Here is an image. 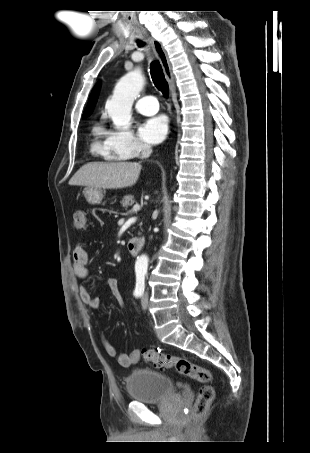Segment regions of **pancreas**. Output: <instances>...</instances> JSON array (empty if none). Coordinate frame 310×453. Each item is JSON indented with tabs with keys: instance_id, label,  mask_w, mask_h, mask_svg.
I'll use <instances>...</instances> for the list:
<instances>
[{
	"instance_id": "cf45deb5",
	"label": "pancreas",
	"mask_w": 310,
	"mask_h": 453,
	"mask_svg": "<svg viewBox=\"0 0 310 453\" xmlns=\"http://www.w3.org/2000/svg\"><path fill=\"white\" fill-rule=\"evenodd\" d=\"M135 203L134 197L132 195L124 196L123 200L121 201V205L123 208L127 209L129 206Z\"/></svg>"
}]
</instances>
